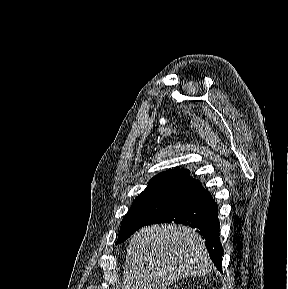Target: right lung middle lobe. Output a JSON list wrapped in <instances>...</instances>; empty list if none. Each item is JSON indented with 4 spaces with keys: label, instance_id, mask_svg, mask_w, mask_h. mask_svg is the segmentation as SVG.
Wrapping results in <instances>:
<instances>
[{
    "label": "right lung middle lobe",
    "instance_id": "right-lung-middle-lobe-1",
    "mask_svg": "<svg viewBox=\"0 0 288 289\" xmlns=\"http://www.w3.org/2000/svg\"><path fill=\"white\" fill-rule=\"evenodd\" d=\"M186 190L155 188L142 192L123 218L116 244L125 241L140 227L148 224L181 200Z\"/></svg>",
    "mask_w": 288,
    "mask_h": 289
}]
</instances>
